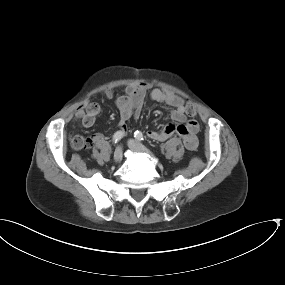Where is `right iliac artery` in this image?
<instances>
[{
    "label": "right iliac artery",
    "mask_w": 285,
    "mask_h": 285,
    "mask_svg": "<svg viewBox=\"0 0 285 285\" xmlns=\"http://www.w3.org/2000/svg\"><path fill=\"white\" fill-rule=\"evenodd\" d=\"M124 136V133L121 131H117L116 133H114L113 135V142L116 144L118 143Z\"/></svg>",
    "instance_id": "obj_1"
}]
</instances>
